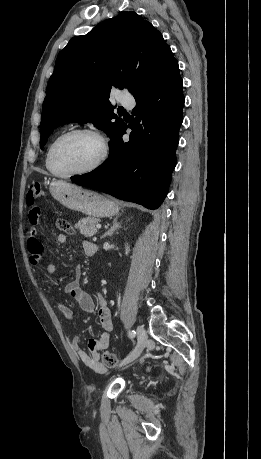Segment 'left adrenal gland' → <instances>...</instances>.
<instances>
[{
  "label": "left adrenal gland",
  "mask_w": 261,
  "mask_h": 459,
  "mask_svg": "<svg viewBox=\"0 0 261 459\" xmlns=\"http://www.w3.org/2000/svg\"><path fill=\"white\" fill-rule=\"evenodd\" d=\"M119 228H121V223L118 222V216H117V217L114 218V220H113V222H112L111 228H110L107 232H105V233L103 234V236L101 237V239H102V238H105V237H107V236H112L113 233H114L116 230H118Z\"/></svg>",
  "instance_id": "1"
}]
</instances>
